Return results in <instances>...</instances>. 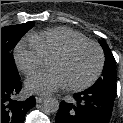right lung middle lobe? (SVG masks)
I'll use <instances>...</instances> for the list:
<instances>
[{"instance_id": "right-lung-middle-lobe-1", "label": "right lung middle lobe", "mask_w": 123, "mask_h": 123, "mask_svg": "<svg viewBox=\"0 0 123 123\" xmlns=\"http://www.w3.org/2000/svg\"><path fill=\"white\" fill-rule=\"evenodd\" d=\"M33 25L34 22H27L1 28V73L13 78H20L12 59V50L21 37L28 32Z\"/></svg>"}]
</instances>
